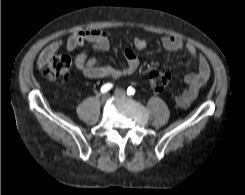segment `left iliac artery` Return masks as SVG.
Masks as SVG:
<instances>
[{"label":"left iliac artery","mask_w":245,"mask_h":195,"mask_svg":"<svg viewBox=\"0 0 245 195\" xmlns=\"http://www.w3.org/2000/svg\"><path fill=\"white\" fill-rule=\"evenodd\" d=\"M127 94L128 95H134L135 94V89L133 88V87H129L128 89H127Z\"/></svg>","instance_id":"44dca946"}]
</instances>
